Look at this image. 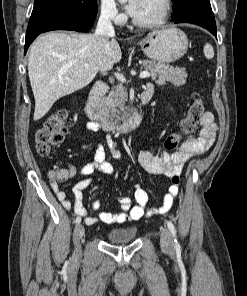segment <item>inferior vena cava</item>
Returning a JSON list of instances; mask_svg holds the SVG:
<instances>
[{"instance_id": "1", "label": "inferior vena cava", "mask_w": 247, "mask_h": 296, "mask_svg": "<svg viewBox=\"0 0 247 296\" xmlns=\"http://www.w3.org/2000/svg\"><path fill=\"white\" fill-rule=\"evenodd\" d=\"M114 16L112 9H106L101 11V15L98 20L96 35L102 36L104 38H109L114 36L115 31L111 23V19Z\"/></svg>"}]
</instances>
